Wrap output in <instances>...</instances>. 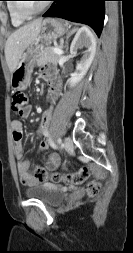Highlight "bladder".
I'll return each instance as SVG.
<instances>
[{
	"label": "bladder",
	"instance_id": "obj_1",
	"mask_svg": "<svg viewBox=\"0 0 133 253\" xmlns=\"http://www.w3.org/2000/svg\"><path fill=\"white\" fill-rule=\"evenodd\" d=\"M25 193L27 197L39 200L44 204L51 206L60 204L65 198L63 190L48 184L31 186L25 191Z\"/></svg>",
	"mask_w": 133,
	"mask_h": 253
}]
</instances>
